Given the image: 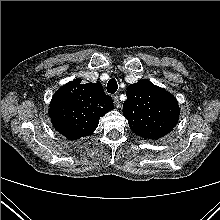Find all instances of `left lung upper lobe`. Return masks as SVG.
Wrapping results in <instances>:
<instances>
[{"instance_id": "obj_1", "label": "left lung upper lobe", "mask_w": 220, "mask_h": 220, "mask_svg": "<svg viewBox=\"0 0 220 220\" xmlns=\"http://www.w3.org/2000/svg\"><path fill=\"white\" fill-rule=\"evenodd\" d=\"M123 115L132 131L143 138L157 140L173 130L179 119L176 98L147 80L128 86Z\"/></svg>"}]
</instances>
